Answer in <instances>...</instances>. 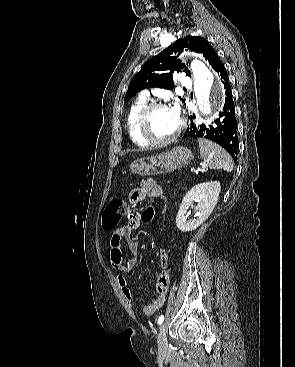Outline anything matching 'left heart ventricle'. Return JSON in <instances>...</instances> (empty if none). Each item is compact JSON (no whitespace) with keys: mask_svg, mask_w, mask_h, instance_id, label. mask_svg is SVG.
<instances>
[{"mask_svg":"<svg viewBox=\"0 0 295 367\" xmlns=\"http://www.w3.org/2000/svg\"><path fill=\"white\" fill-rule=\"evenodd\" d=\"M179 120L172 114L170 108L155 110L150 118V131L156 138H167L178 128Z\"/></svg>","mask_w":295,"mask_h":367,"instance_id":"1","label":"left heart ventricle"}]
</instances>
